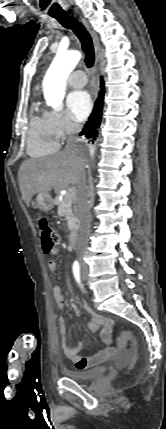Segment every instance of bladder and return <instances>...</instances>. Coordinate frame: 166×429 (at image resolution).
<instances>
[{
	"instance_id": "bladder-1",
	"label": "bladder",
	"mask_w": 166,
	"mask_h": 429,
	"mask_svg": "<svg viewBox=\"0 0 166 429\" xmlns=\"http://www.w3.org/2000/svg\"><path fill=\"white\" fill-rule=\"evenodd\" d=\"M107 370V366H98L87 371L69 370L66 374L77 382H88L103 377Z\"/></svg>"
}]
</instances>
